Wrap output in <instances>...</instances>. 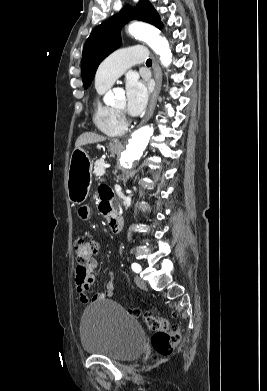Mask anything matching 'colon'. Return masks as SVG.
Instances as JSON below:
<instances>
[{"label": "colon", "instance_id": "5ec220e1", "mask_svg": "<svg viewBox=\"0 0 267 391\" xmlns=\"http://www.w3.org/2000/svg\"><path fill=\"white\" fill-rule=\"evenodd\" d=\"M73 248L76 254L77 269L87 272L91 269L94 257L98 253V243L91 238L78 237ZM129 314L139 318L152 333L151 344L155 358L169 355L181 339L180 329H171L167 318L151 313L142 314L138 309H131Z\"/></svg>", "mask_w": 267, "mask_h": 391}]
</instances>
